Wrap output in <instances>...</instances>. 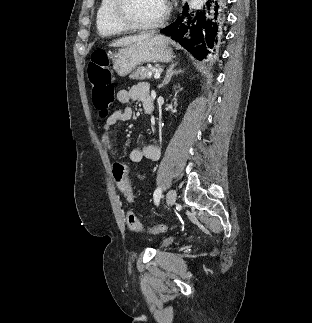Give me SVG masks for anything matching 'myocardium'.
I'll list each match as a JSON object with an SVG mask.
<instances>
[{
	"instance_id": "f54148a6",
	"label": "myocardium",
	"mask_w": 312,
	"mask_h": 323,
	"mask_svg": "<svg viewBox=\"0 0 312 323\" xmlns=\"http://www.w3.org/2000/svg\"><path fill=\"white\" fill-rule=\"evenodd\" d=\"M112 8L110 15L114 17L117 25H124L126 31H148L149 27L155 25H162L163 21H168L169 13L173 11L172 3L170 0H163L162 14L160 18H152V20H133L129 12H123L125 10V0H111Z\"/></svg>"
}]
</instances>
